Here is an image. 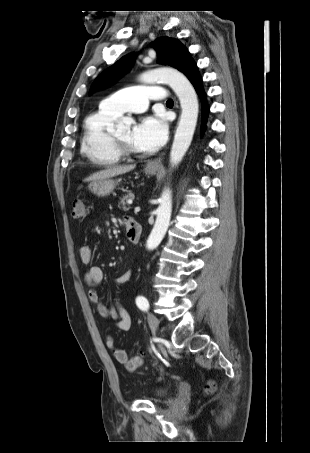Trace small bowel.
<instances>
[{
    "label": "small bowel",
    "instance_id": "1",
    "mask_svg": "<svg viewBox=\"0 0 310 453\" xmlns=\"http://www.w3.org/2000/svg\"><path fill=\"white\" fill-rule=\"evenodd\" d=\"M132 219L126 218L125 224ZM79 257L80 261L88 265L91 263L93 258L92 248L88 245H83L79 248ZM85 281L89 286V299L96 306L97 312L104 319H114L116 321V326L121 331H128L131 327V317L127 310L122 306L119 301H115L111 305H106L103 303L100 294L98 292V287L104 280V274L101 268L97 266H91L85 273ZM132 278V271L127 270L122 274L114 278V283L117 285H122L128 282ZM106 346L112 352L114 359L120 364H126L128 361L127 353L116 346V343L112 337H107Z\"/></svg>",
    "mask_w": 310,
    "mask_h": 453
}]
</instances>
